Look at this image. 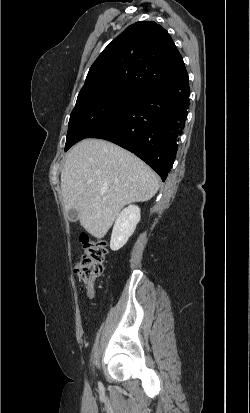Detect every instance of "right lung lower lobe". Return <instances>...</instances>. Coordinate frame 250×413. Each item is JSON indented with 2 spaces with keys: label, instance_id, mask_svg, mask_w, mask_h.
<instances>
[{
  "label": "right lung lower lobe",
  "instance_id": "obj_1",
  "mask_svg": "<svg viewBox=\"0 0 250 413\" xmlns=\"http://www.w3.org/2000/svg\"><path fill=\"white\" fill-rule=\"evenodd\" d=\"M189 96L188 81L143 91L86 138L105 139L131 151L164 181L176 157Z\"/></svg>",
  "mask_w": 250,
  "mask_h": 413
}]
</instances>
